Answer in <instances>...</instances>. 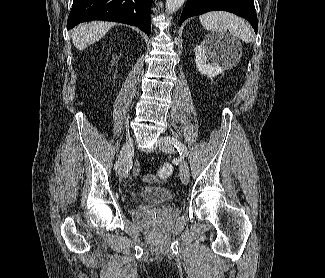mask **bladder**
<instances>
[{"label":"bladder","mask_w":325,"mask_h":278,"mask_svg":"<svg viewBox=\"0 0 325 278\" xmlns=\"http://www.w3.org/2000/svg\"><path fill=\"white\" fill-rule=\"evenodd\" d=\"M140 197L146 202L163 203L173 200L174 193L164 186H152L143 188Z\"/></svg>","instance_id":"31cf9c89"}]
</instances>
